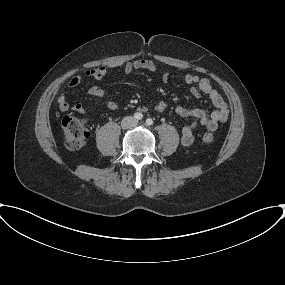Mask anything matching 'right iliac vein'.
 Returning <instances> with one entry per match:
<instances>
[{"label":"right iliac vein","instance_id":"obj_1","mask_svg":"<svg viewBox=\"0 0 285 285\" xmlns=\"http://www.w3.org/2000/svg\"><path fill=\"white\" fill-rule=\"evenodd\" d=\"M131 123H132V121H131L130 118H125L121 122V126H122L123 129H127L131 125Z\"/></svg>","mask_w":285,"mask_h":285}]
</instances>
